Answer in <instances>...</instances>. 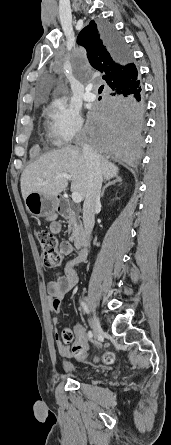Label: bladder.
<instances>
[{
    "label": "bladder",
    "instance_id": "31cf9c89",
    "mask_svg": "<svg viewBox=\"0 0 171 445\" xmlns=\"http://www.w3.org/2000/svg\"><path fill=\"white\" fill-rule=\"evenodd\" d=\"M79 376H85L88 375V372H76Z\"/></svg>",
    "mask_w": 171,
    "mask_h": 445
}]
</instances>
